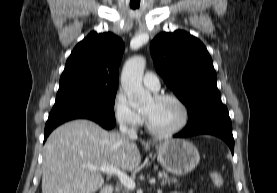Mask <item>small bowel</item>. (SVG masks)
<instances>
[{"instance_id": "c3829d8e", "label": "small bowel", "mask_w": 277, "mask_h": 193, "mask_svg": "<svg viewBox=\"0 0 277 193\" xmlns=\"http://www.w3.org/2000/svg\"><path fill=\"white\" fill-rule=\"evenodd\" d=\"M170 193H181V192H178V191H172V192H170ZM188 193H194L193 191H190V192H188Z\"/></svg>"}]
</instances>
